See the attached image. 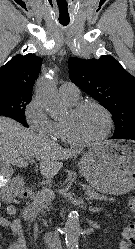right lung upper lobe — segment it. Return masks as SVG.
I'll return each instance as SVG.
<instances>
[{
  "mask_svg": "<svg viewBox=\"0 0 135 249\" xmlns=\"http://www.w3.org/2000/svg\"><path fill=\"white\" fill-rule=\"evenodd\" d=\"M42 59L34 54H17L0 68V93L31 95Z\"/></svg>",
  "mask_w": 135,
  "mask_h": 249,
  "instance_id": "1",
  "label": "right lung upper lobe"
}]
</instances>
